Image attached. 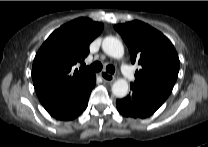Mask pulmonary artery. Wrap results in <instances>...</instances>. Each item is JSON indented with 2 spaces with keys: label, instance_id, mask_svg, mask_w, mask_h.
I'll return each instance as SVG.
<instances>
[{
  "label": "pulmonary artery",
  "instance_id": "1",
  "mask_svg": "<svg viewBox=\"0 0 208 147\" xmlns=\"http://www.w3.org/2000/svg\"><path fill=\"white\" fill-rule=\"evenodd\" d=\"M121 70H122V73L124 74V76L127 78V79H132L133 78V74L130 70V68L126 65V64H123L121 66Z\"/></svg>",
  "mask_w": 208,
  "mask_h": 147
}]
</instances>
